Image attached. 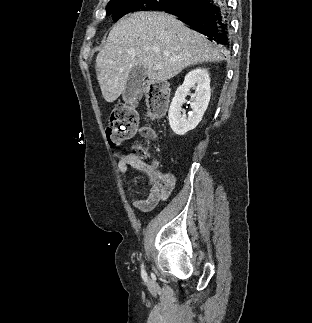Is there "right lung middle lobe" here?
I'll return each mask as SVG.
<instances>
[{"mask_svg": "<svg viewBox=\"0 0 312 323\" xmlns=\"http://www.w3.org/2000/svg\"><path fill=\"white\" fill-rule=\"evenodd\" d=\"M187 0H111L106 7V14L118 21L124 15L135 11L165 10L178 7Z\"/></svg>", "mask_w": 312, "mask_h": 323, "instance_id": "dd1d6c3e", "label": "right lung middle lobe"}]
</instances>
